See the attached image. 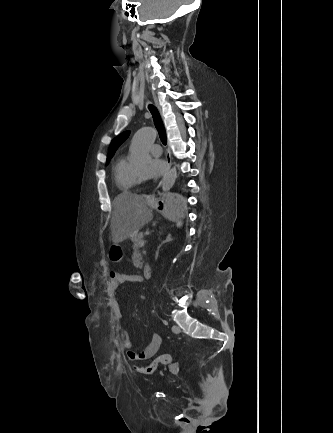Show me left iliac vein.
Returning a JSON list of instances; mask_svg holds the SVG:
<instances>
[{
    "mask_svg": "<svg viewBox=\"0 0 333 433\" xmlns=\"http://www.w3.org/2000/svg\"><path fill=\"white\" fill-rule=\"evenodd\" d=\"M172 331L176 334L181 332V329L177 325L172 326Z\"/></svg>",
    "mask_w": 333,
    "mask_h": 433,
    "instance_id": "1",
    "label": "left iliac vein"
}]
</instances>
